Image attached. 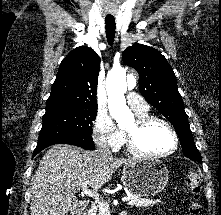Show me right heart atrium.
Listing matches in <instances>:
<instances>
[{
  "label": "right heart atrium",
  "instance_id": "right-heart-atrium-1",
  "mask_svg": "<svg viewBox=\"0 0 221 215\" xmlns=\"http://www.w3.org/2000/svg\"><path fill=\"white\" fill-rule=\"evenodd\" d=\"M93 139L97 145L118 150L125 140L124 133L105 114H98L93 127Z\"/></svg>",
  "mask_w": 221,
  "mask_h": 215
}]
</instances>
